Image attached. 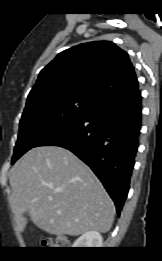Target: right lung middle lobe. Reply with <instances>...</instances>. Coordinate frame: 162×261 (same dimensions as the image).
<instances>
[{
	"instance_id": "obj_1",
	"label": "right lung middle lobe",
	"mask_w": 162,
	"mask_h": 261,
	"mask_svg": "<svg viewBox=\"0 0 162 261\" xmlns=\"http://www.w3.org/2000/svg\"><path fill=\"white\" fill-rule=\"evenodd\" d=\"M99 102L69 93L28 100L19 124L11 163L35 147L49 132L93 110Z\"/></svg>"
}]
</instances>
